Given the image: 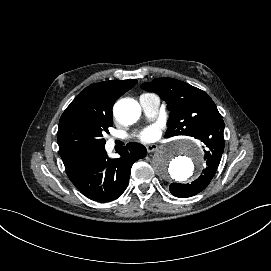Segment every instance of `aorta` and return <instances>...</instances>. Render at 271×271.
I'll use <instances>...</instances> for the list:
<instances>
[{
  "label": "aorta",
  "instance_id": "762f6f07",
  "mask_svg": "<svg viewBox=\"0 0 271 271\" xmlns=\"http://www.w3.org/2000/svg\"><path fill=\"white\" fill-rule=\"evenodd\" d=\"M141 114L139 103L132 99H122L114 106L115 118L122 124L135 123ZM204 163L200 149L187 141H176L160 148L153 156L155 172L166 180L187 181L197 168Z\"/></svg>",
  "mask_w": 271,
  "mask_h": 271
}]
</instances>
